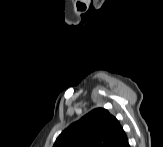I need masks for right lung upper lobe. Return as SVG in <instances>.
Segmentation results:
<instances>
[{
    "label": "right lung upper lobe",
    "mask_w": 163,
    "mask_h": 147,
    "mask_svg": "<svg viewBox=\"0 0 163 147\" xmlns=\"http://www.w3.org/2000/svg\"><path fill=\"white\" fill-rule=\"evenodd\" d=\"M124 136L119 121L108 110L97 108L66 128L53 147H114Z\"/></svg>",
    "instance_id": "right-lung-upper-lobe-1"
}]
</instances>
